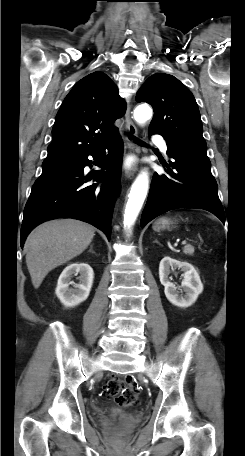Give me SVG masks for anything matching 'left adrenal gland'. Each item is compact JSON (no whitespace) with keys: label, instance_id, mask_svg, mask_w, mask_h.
I'll list each match as a JSON object with an SVG mask.
<instances>
[{"label":"left adrenal gland","instance_id":"left-adrenal-gland-1","mask_svg":"<svg viewBox=\"0 0 245 456\" xmlns=\"http://www.w3.org/2000/svg\"><path fill=\"white\" fill-rule=\"evenodd\" d=\"M154 243H158V244H160V243H159V241H158L157 239H155Z\"/></svg>","mask_w":245,"mask_h":456}]
</instances>
